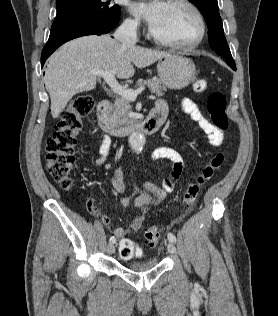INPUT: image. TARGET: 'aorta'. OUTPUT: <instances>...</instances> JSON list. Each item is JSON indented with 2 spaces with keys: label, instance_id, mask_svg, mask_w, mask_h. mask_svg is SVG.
<instances>
[{
  "label": "aorta",
  "instance_id": "obj_1",
  "mask_svg": "<svg viewBox=\"0 0 278 316\" xmlns=\"http://www.w3.org/2000/svg\"><path fill=\"white\" fill-rule=\"evenodd\" d=\"M129 145L137 154L141 153L145 144V137L140 132H134L129 137Z\"/></svg>",
  "mask_w": 278,
  "mask_h": 316
}]
</instances>
